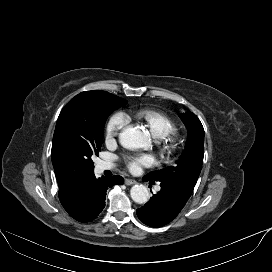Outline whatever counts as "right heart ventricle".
I'll return each instance as SVG.
<instances>
[{"mask_svg": "<svg viewBox=\"0 0 272 272\" xmlns=\"http://www.w3.org/2000/svg\"><path fill=\"white\" fill-rule=\"evenodd\" d=\"M127 116L129 117V115ZM135 117L144 121L151 133L157 138L165 137L176 129L175 122L169 116L158 111L143 110L138 112Z\"/></svg>", "mask_w": 272, "mask_h": 272, "instance_id": "right-heart-ventricle-1", "label": "right heart ventricle"}]
</instances>
